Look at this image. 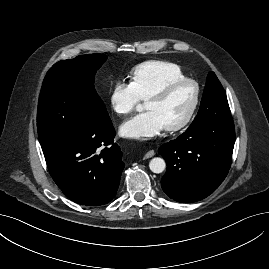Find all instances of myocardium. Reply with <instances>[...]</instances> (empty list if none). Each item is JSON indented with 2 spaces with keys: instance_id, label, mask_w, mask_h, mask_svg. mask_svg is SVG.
<instances>
[{
  "instance_id": "f54148a6",
  "label": "myocardium",
  "mask_w": 269,
  "mask_h": 269,
  "mask_svg": "<svg viewBox=\"0 0 269 269\" xmlns=\"http://www.w3.org/2000/svg\"><path fill=\"white\" fill-rule=\"evenodd\" d=\"M184 84H191L195 88L193 103H192L187 115L184 117V119L182 121H180L177 124L165 127V129L167 131H170V132H177V131L183 130L193 120L195 113L198 109V106L200 103V97H201V90H200V86H199L198 82L194 79H191V78L176 79V80L168 82L162 88H160L159 90L152 93L146 99V102L153 101V100H162V99L166 98L173 89H175L176 87H178L180 85H184Z\"/></svg>"
}]
</instances>
